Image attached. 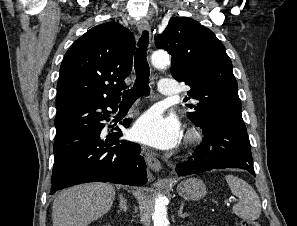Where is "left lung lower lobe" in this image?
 I'll list each match as a JSON object with an SVG mask.
<instances>
[{
    "label": "left lung lower lobe",
    "mask_w": 297,
    "mask_h": 226,
    "mask_svg": "<svg viewBox=\"0 0 297 226\" xmlns=\"http://www.w3.org/2000/svg\"><path fill=\"white\" fill-rule=\"evenodd\" d=\"M199 127L203 129L204 142L194 152V160L176 166L179 176L223 168H241L255 176L244 122L216 119Z\"/></svg>",
    "instance_id": "left-lung-lower-lobe-1"
}]
</instances>
